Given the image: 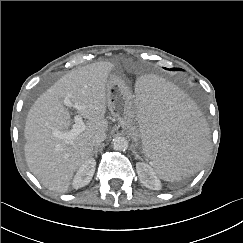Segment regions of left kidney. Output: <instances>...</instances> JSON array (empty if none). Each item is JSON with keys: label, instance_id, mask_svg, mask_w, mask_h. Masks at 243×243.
Listing matches in <instances>:
<instances>
[{"label": "left kidney", "instance_id": "obj_1", "mask_svg": "<svg viewBox=\"0 0 243 243\" xmlns=\"http://www.w3.org/2000/svg\"><path fill=\"white\" fill-rule=\"evenodd\" d=\"M137 173L143 185L149 189L159 190L161 183L151 166L138 162L136 164Z\"/></svg>", "mask_w": 243, "mask_h": 243}]
</instances>
